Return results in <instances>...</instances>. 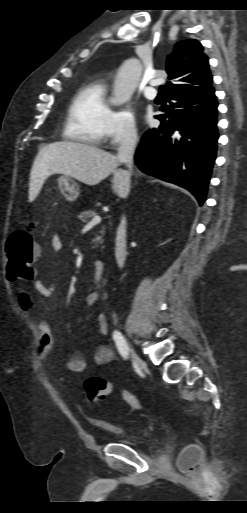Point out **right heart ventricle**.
Segmentation results:
<instances>
[{
  "mask_svg": "<svg viewBox=\"0 0 247 513\" xmlns=\"http://www.w3.org/2000/svg\"><path fill=\"white\" fill-rule=\"evenodd\" d=\"M112 110L104 81L85 82L72 97L63 128L66 140L101 145Z\"/></svg>",
  "mask_w": 247,
  "mask_h": 513,
  "instance_id": "obj_1",
  "label": "right heart ventricle"
}]
</instances>
